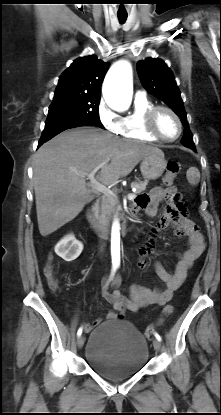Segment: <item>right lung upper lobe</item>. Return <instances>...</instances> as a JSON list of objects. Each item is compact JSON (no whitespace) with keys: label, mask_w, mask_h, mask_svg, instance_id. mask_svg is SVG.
I'll list each match as a JSON object with an SVG mask.
<instances>
[{"label":"right lung upper lobe","mask_w":221,"mask_h":415,"mask_svg":"<svg viewBox=\"0 0 221 415\" xmlns=\"http://www.w3.org/2000/svg\"><path fill=\"white\" fill-rule=\"evenodd\" d=\"M109 63L96 56L76 59L59 78L55 94L79 93L100 96L101 84L108 70Z\"/></svg>","instance_id":"obj_1"}]
</instances>
